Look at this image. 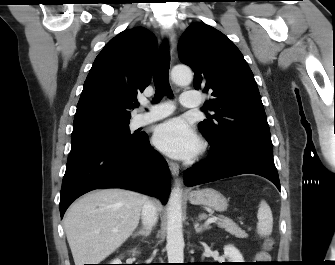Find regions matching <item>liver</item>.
Wrapping results in <instances>:
<instances>
[{
    "label": "liver",
    "instance_id": "1",
    "mask_svg": "<svg viewBox=\"0 0 335 265\" xmlns=\"http://www.w3.org/2000/svg\"><path fill=\"white\" fill-rule=\"evenodd\" d=\"M144 197L122 189L93 191L66 212L64 229L75 265L99 264L137 228Z\"/></svg>",
    "mask_w": 335,
    "mask_h": 265
}]
</instances>
